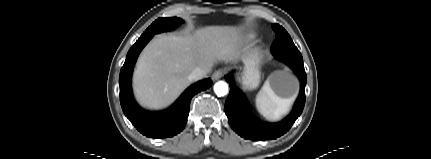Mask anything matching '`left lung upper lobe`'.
Wrapping results in <instances>:
<instances>
[{
    "label": "left lung upper lobe",
    "mask_w": 431,
    "mask_h": 159,
    "mask_svg": "<svg viewBox=\"0 0 431 159\" xmlns=\"http://www.w3.org/2000/svg\"><path fill=\"white\" fill-rule=\"evenodd\" d=\"M273 30L276 32V40L272 46V54H292L301 55L297 47L294 45L291 37L286 30L279 24L272 25Z\"/></svg>",
    "instance_id": "obj_1"
}]
</instances>
